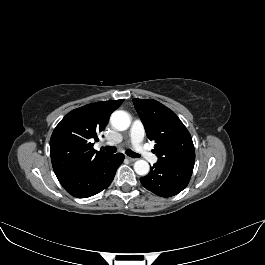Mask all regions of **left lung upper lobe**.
<instances>
[{
	"instance_id": "left-lung-upper-lobe-1",
	"label": "left lung upper lobe",
	"mask_w": 265,
	"mask_h": 265,
	"mask_svg": "<svg viewBox=\"0 0 265 265\" xmlns=\"http://www.w3.org/2000/svg\"><path fill=\"white\" fill-rule=\"evenodd\" d=\"M147 137L155 142L158 163H194L195 150L189 131L177 115L152 99H133Z\"/></svg>"
}]
</instances>
